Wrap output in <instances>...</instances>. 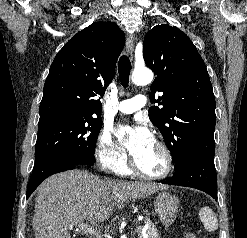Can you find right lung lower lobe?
I'll list each match as a JSON object with an SVG mask.
<instances>
[{
	"label": "right lung lower lobe",
	"instance_id": "98d812e1",
	"mask_svg": "<svg viewBox=\"0 0 247 238\" xmlns=\"http://www.w3.org/2000/svg\"><path fill=\"white\" fill-rule=\"evenodd\" d=\"M85 166L87 165L77 163L74 160L66 158L56 159L42 164L32 172V176L27 187L26 199H28L38 185L50 175Z\"/></svg>",
	"mask_w": 247,
	"mask_h": 238
}]
</instances>
